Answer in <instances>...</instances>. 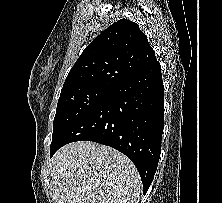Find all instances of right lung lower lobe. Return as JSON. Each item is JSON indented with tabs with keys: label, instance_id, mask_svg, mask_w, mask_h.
Wrapping results in <instances>:
<instances>
[{
	"label": "right lung lower lobe",
	"instance_id": "98d812e1",
	"mask_svg": "<svg viewBox=\"0 0 222 203\" xmlns=\"http://www.w3.org/2000/svg\"><path fill=\"white\" fill-rule=\"evenodd\" d=\"M164 86L156 60L119 83L110 95L73 123L51 145L52 156L74 141H94L125 154L147 192L157 169L164 127Z\"/></svg>",
	"mask_w": 222,
	"mask_h": 203
}]
</instances>
